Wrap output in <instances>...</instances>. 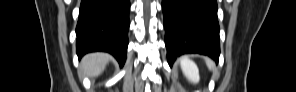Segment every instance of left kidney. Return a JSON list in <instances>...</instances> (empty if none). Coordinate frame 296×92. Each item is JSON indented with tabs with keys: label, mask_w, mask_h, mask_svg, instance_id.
<instances>
[{
	"label": "left kidney",
	"mask_w": 296,
	"mask_h": 92,
	"mask_svg": "<svg viewBox=\"0 0 296 92\" xmlns=\"http://www.w3.org/2000/svg\"><path fill=\"white\" fill-rule=\"evenodd\" d=\"M180 66L182 69L183 74L186 78L192 83H198L200 80L199 76V69L197 65L188 58H181L180 59Z\"/></svg>",
	"instance_id": "5707ae66"
}]
</instances>
